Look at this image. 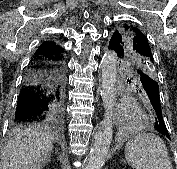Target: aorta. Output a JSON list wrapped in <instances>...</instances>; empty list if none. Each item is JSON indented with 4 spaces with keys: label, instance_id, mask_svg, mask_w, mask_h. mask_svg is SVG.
Here are the masks:
<instances>
[{
    "label": "aorta",
    "instance_id": "aorta-1",
    "mask_svg": "<svg viewBox=\"0 0 177 169\" xmlns=\"http://www.w3.org/2000/svg\"><path fill=\"white\" fill-rule=\"evenodd\" d=\"M100 70L105 116L100 127L94 133L92 148L85 169H100L102 167L112 141L117 74L115 52H107L104 54L100 63Z\"/></svg>",
    "mask_w": 177,
    "mask_h": 169
}]
</instances>
